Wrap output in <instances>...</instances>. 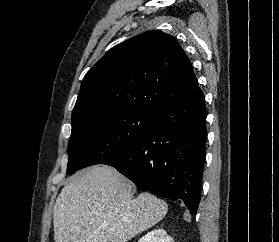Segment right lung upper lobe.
<instances>
[{"label":"right lung upper lobe","instance_id":"obj_1","mask_svg":"<svg viewBox=\"0 0 279 242\" xmlns=\"http://www.w3.org/2000/svg\"><path fill=\"white\" fill-rule=\"evenodd\" d=\"M202 94L177 40L149 31L114 47L87 72L72 119L119 109L157 113Z\"/></svg>","mask_w":279,"mask_h":242}]
</instances>
